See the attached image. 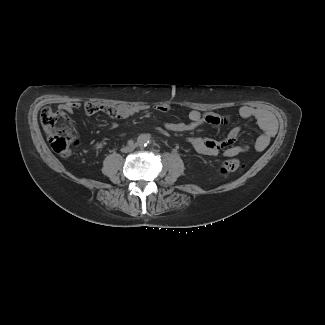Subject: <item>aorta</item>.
<instances>
[{"label":"aorta","mask_w":325,"mask_h":325,"mask_svg":"<svg viewBox=\"0 0 325 325\" xmlns=\"http://www.w3.org/2000/svg\"><path fill=\"white\" fill-rule=\"evenodd\" d=\"M150 143V137L147 134H141L137 138V144L140 147H146Z\"/></svg>","instance_id":"762f6f07"}]
</instances>
